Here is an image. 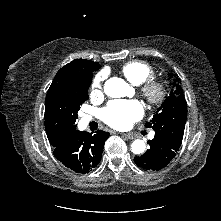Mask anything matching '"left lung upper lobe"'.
I'll use <instances>...</instances> for the list:
<instances>
[{
    "label": "left lung upper lobe",
    "mask_w": 221,
    "mask_h": 221,
    "mask_svg": "<svg viewBox=\"0 0 221 221\" xmlns=\"http://www.w3.org/2000/svg\"><path fill=\"white\" fill-rule=\"evenodd\" d=\"M173 74H170V78ZM174 91L165 99L156 114L145 124L155 132L173 135L182 140L187 119V104L180 86V78L173 83Z\"/></svg>",
    "instance_id": "left-lung-upper-lobe-1"
}]
</instances>
